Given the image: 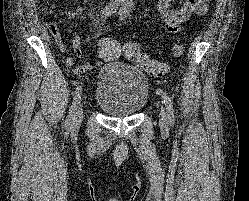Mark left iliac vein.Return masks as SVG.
I'll return each instance as SVG.
<instances>
[{"instance_id": "obj_1", "label": "left iliac vein", "mask_w": 249, "mask_h": 201, "mask_svg": "<svg viewBox=\"0 0 249 201\" xmlns=\"http://www.w3.org/2000/svg\"><path fill=\"white\" fill-rule=\"evenodd\" d=\"M159 124H160V128L163 131H167L168 130L169 121H168V117H167V114H166V112H165L164 109H161V111H160Z\"/></svg>"}]
</instances>
